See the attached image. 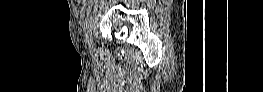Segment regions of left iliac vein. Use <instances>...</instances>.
Here are the masks:
<instances>
[{
  "instance_id": "obj_1",
  "label": "left iliac vein",
  "mask_w": 263,
  "mask_h": 92,
  "mask_svg": "<svg viewBox=\"0 0 263 92\" xmlns=\"http://www.w3.org/2000/svg\"><path fill=\"white\" fill-rule=\"evenodd\" d=\"M89 50L91 51V52H93V51H95V44H94V42H93V38H92V36H91V40L89 41Z\"/></svg>"
}]
</instances>
